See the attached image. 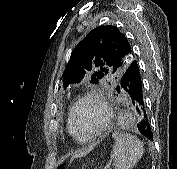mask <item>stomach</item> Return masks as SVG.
I'll use <instances>...</instances> for the list:
<instances>
[{"mask_svg":"<svg viewBox=\"0 0 177 169\" xmlns=\"http://www.w3.org/2000/svg\"><path fill=\"white\" fill-rule=\"evenodd\" d=\"M56 169H65V166L62 163H58Z\"/></svg>","mask_w":177,"mask_h":169,"instance_id":"obj_1","label":"stomach"}]
</instances>
